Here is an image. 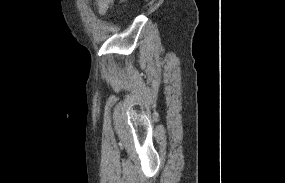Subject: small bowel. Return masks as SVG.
I'll return each instance as SVG.
<instances>
[{
    "label": "small bowel",
    "mask_w": 285,
    "mask_h": 183,
    "mask_svg": "<svg viewBox=\"0 0 285 183\" xmlns=\"http://www.w3.org/2000/svg\"><path fill=\"white\" fill-rule=\"evenodd\" d=\"M114 0H96V6L101 16H104Z\"/></svg>",
    "instance_id": "obj_1"
}]
</instances>
